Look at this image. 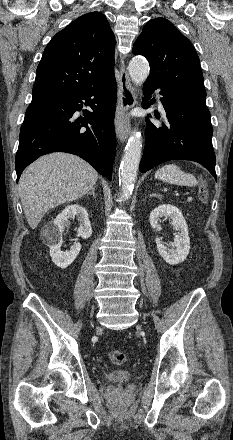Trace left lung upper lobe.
<instances>
[{
    "label": "left lung upper lobe",
    "mask_w": 233,
    "mask_h": 440,
    "mask_svg": "<svg viewBox=\"0 0 233 440\" xmlns=\"http://www.w3.org/2000/svg\"><path fill=\"white\" fill-rule=\"evenodd\" d=\"M149 61L147 80L162 89L206 96L199 57L191 42L165 18L149 21L133 46Z\"/></svg>",
    "instance_id": "1"
}]
</instances>
